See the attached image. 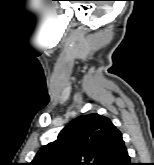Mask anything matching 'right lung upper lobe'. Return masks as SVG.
<instances>
[{"instance_id": "obj_1", "label": "right lung upper lobe", "mask_w": 154, "mask_h": 165, "mask_svg": "<svg viewBox=\"0 0 154 165\" xmlns=\"http://www.w3.org/2000/svg\"><path fill=\"white\" fill-rule=\"evenodd\" d=\"M120 134L107 117L79 116L61 130L56 141L38 151L31 165H99Z\"/></svg>"}]
</instances>
